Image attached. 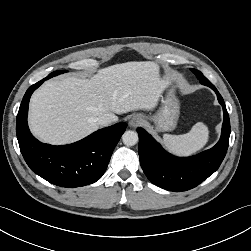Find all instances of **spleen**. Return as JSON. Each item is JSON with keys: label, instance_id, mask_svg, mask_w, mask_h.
Here are the masks:
<instances>
[{"label": "spleen", "instance_id": "1", "mask_svg": "<svg viewBox=\"0 0 251 251\" xmlns=\"http://www.w3.org/2000/svg\"><path fill=\"white\" fill-rule=\"evenodd\" d=\"M209 139V129L202 123H196L191 130L182 135L165 134L163 144L172 153L180 156L192 155L201 150Z\"/></svg>", "mask_w": 251, "mask_h": 251}]
</instances>
